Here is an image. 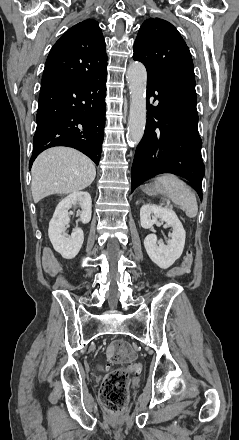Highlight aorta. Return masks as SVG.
<instances>
[{
  "instance_id": "762f6f07",
  "label": "aorta",
  "mask_w": 239,
  "mask_h": 440,
  "mask_svg": "<svg viewBox=\"0 0 239 440\" xmlns=\"http://www.w3.org/2000/svg\"><path fill=\"white\" fill-rule=\"evenodd\" d=\"M130 88V112L127 140L131 144H139L143 138L146 124V82L147 72L141 62H132L127 70Z\"/></svg>"
}]
</instances>
